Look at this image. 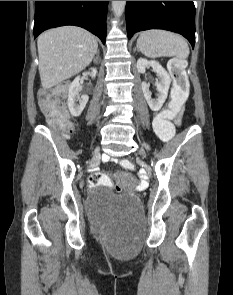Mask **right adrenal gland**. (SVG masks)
Instances as JSON below:
<instances>
[{
  "label": "right adrenal gland",
  "instance_id": "right-adrenal-gland-1",
  "mask_svg": "<svg viewBox=\"0 0 233 295\" xmlns=\"http://www.w3.org/2000/svg\"><path fill=\"white\" fill-rule=\"evenodd\" d=\"M99 53H100V51H99V50H97V53H96V54H97V55H99Z\"/></svg>",
  "mask_w": 233,
  "mask_h": 295
}]
</instances>
